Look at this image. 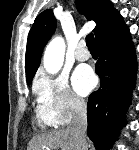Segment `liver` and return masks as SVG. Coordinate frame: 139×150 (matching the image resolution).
Returning <instances> with one entry per match:
<instances>
[{
	"label": "liver",
	"mask_w": 139,
	"mask_h": 150,
	"mask_svg": "<svg viewBox=\"0 0 139 150\" xmlns=\"http://www.w3.org/2000/svg\"><path fill=\"white\" fill-rule=\"evenodd\" d=\"M76 150L75 140L68 129L34 136L27 150Z\"/></svg>",
	"instance_id": "obj_1"
}]
</instances>
